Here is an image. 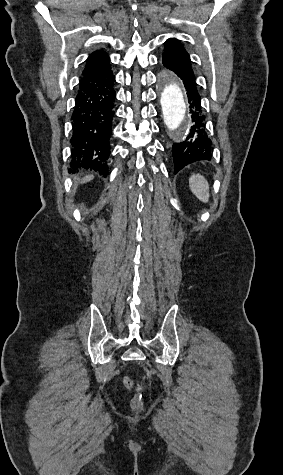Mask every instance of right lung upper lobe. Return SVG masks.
I'll return each instance as SVG.
<instances>
[{"label": "right lung upper lobe", "instance_id": "cb5924a9", "mask_svg": "<svg viewBox=\"0 0 283 475\" xmlns=\"http://www.w3.org/2000/svg\"><path fill=\"white\" fill-rule=\"evenodd\" d=\"M110 68L109 57L104 51H95L85 61L82 74L98 73Z\"/></svg>", "mask_w": 283, "mask_h": 475}]
</instances>
